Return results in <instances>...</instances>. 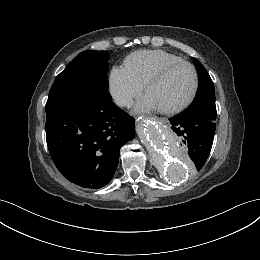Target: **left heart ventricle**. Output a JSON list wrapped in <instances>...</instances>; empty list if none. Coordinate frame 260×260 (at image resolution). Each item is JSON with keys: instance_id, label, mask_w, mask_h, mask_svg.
<instances>
[{"instance_id": "b2bd125f", "label": "left heart ventricle", "mask_w": 260, "mask_h": 260, "mask_svg": "<svg viewBox=\"0 0 260 260\" xmlns=\"http://www.w3.org/2000/svg\"><path fill=\"white\" fill-rule=\"evenodd\" d=\"M191 73L187 66L180 65L167 72L147 91V95L159 108L173 104L188 90Z\"/></svg>"}]
</instances>
